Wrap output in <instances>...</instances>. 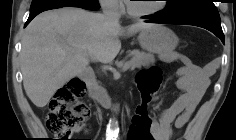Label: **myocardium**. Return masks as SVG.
<instances>
[{
  "instance_id": "f54148a6",
  "label": "myocardium",
  "mask_w": 236,
  "mask_h": 140,
  "mask_svg": "<svg viewBox=\"0 0 236 140\" xmlns=\"http://www.w3.org/2000/svg\"><path fill=\"white\" fill-rule=\"evenodd\" d=\"M165 7H166V4L164 1H162V3H160L157 7L153 8V9L141 11V10L134 9L131 6L130 1L127 2V12L129 13V15L136 17V18H144V17L152 16V15L162 11Z\"/></svg>"
}]
</instances>
